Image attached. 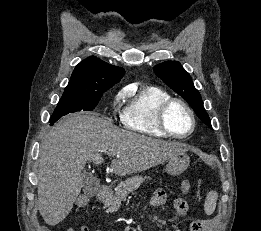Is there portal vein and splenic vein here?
I'll return each mask as SVG.
<instances>
[{
  "instance_id": "portal-vein-and-splenic-vein-1",
  "label": "portal vein and splenic vein",
  "mask_w": 261,
  "mask_h": 231,
  "mask_svg": "<svg viewBox=\"0 0 261 231\" xmlns=\"http://www.w3.org/2000/svg\"><path fill=\"white\" fill-rule=\"evenodd\" d=\"M109 156H113V155H115L114 153H107Z\"/></svg>"
}]
</instances>
